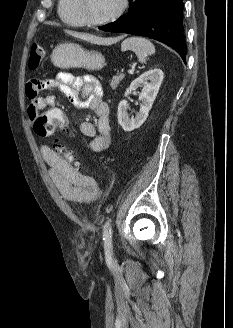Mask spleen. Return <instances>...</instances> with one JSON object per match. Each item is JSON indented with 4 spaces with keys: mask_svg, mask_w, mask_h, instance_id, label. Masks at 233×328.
Masks as SVG:
<instances>
[{
    "mask_svg": "<svg viewBox=\"0 0 233 328\" xmlns=\"http://www.w3.org/2000/svg\"><path fill=\"white\" fill-rule=\"evenodd\" d=\"M121 50L133 51L141 63H146L148 57L155 53L154 45L143 37H129L125 39L121 44Z\"/></svg>",
    "mask_w": 233,
    "mask_h": 328,
    "instance_id": "obj_1",
    "label": "spleen"
}]
</instances>
